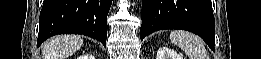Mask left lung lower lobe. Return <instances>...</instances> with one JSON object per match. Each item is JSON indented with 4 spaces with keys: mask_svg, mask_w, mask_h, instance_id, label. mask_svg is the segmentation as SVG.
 <instances>
[{
    "mask_svg": "<svg viewBox=\"0 0 261 59\" xmlns=\"http://www.w3.org/2000/svg\"><path fill=\"white\" fill-rule=\"evenodd\" d=\"M140 39L163 29L199 35L214 51L215 21L211 0H143Z\"/></svg>",
    "mask_w": 261,
    "mask_h": 59,
    "instance_id": "obj_1",
    "label": "left lung lower lobe"
}]
</instances>
